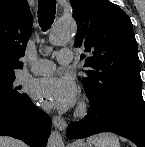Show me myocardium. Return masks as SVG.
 <instances>
[{"instance_id": "1", "label": "myocardium", "mask_w": 145, "mask_h": 147, "mask_svg": "<svg viewBox=\"0 0 145 147\" xmlns=\"http://www.w3.org/2000/svg\"><path fill=\"white\" fill-rule=\"evenodd\" d=\"M88 111L89 104L86 101H81L77 106L75 114L77 117L82 118L87 115Z\"/></svg>"}]
</instances>
